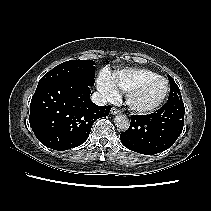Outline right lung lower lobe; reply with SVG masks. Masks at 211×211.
<instances>
[{
	"mask_svg": "<svg viewBox=\"0 0 211 211\" xmlns=\"http://www.w3.org/2000/svg\"><path fill=\"white\" fill-rule=\"evenodd\" d=\"M90 87L79 78L37 86L29 122L43 145L59 151L77 147L86 141L93 123L109 114L111 106L91 101Z\"/></svg>",
	"mask_w": 211,
	"mask_h": 211,
	"instance_id": "1",
	"label": "right lung lower lobe"
}]
</instances>
